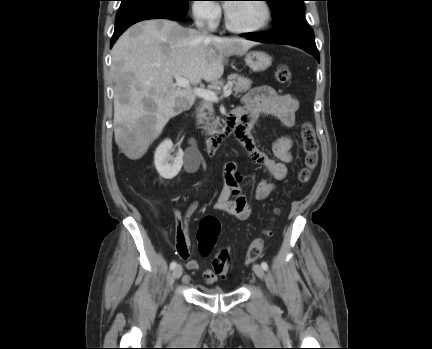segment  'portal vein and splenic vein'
<instances>
[{"label": "portal vein and splenic vein", "mask_w": 432, "mask_h": 349, "mask_svg": "<svg viewBox=\"0 0 432 349\" xmlns=\"http://www.w3.org/2000/svg\"><path fill=\"white\" fill-rule=\"evenodd\" d=\"M174 77L176 80V83H175L176 86L186 88L190 85L189 80H187L186 78H183L179 75H175ZM194 92L196 95L204 98L205 100L213 101V102L219 101V98L217 97V95L214 91L207 90V89L200 87V88H195ZM231 94H232V89L228 88V89L224 90L222 97H228Z\"/></svg>", "instance_id": "18ae733b"}]
</instances>
